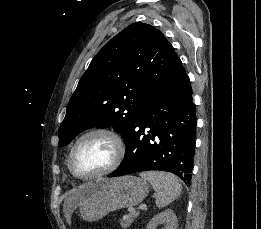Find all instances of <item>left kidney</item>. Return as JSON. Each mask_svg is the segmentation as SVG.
<instances>
[{"label": "left kidney", "mask_w": 261, "mask_h": 229, "mask_svg": "<svg viewBox=\"0 0 261 229\" xmlns=\"http://www.w3.org/2000/svg\"><path fill=\"white\" fill-rule=\"evenodd\" d=\"M177 223L175 213L167 209V211H162L159 215H155V217L149 221L146 229H157L158 225H165V229H177Z\"/></svg>", "instance_id": "5707ae66"}]
</instances>
